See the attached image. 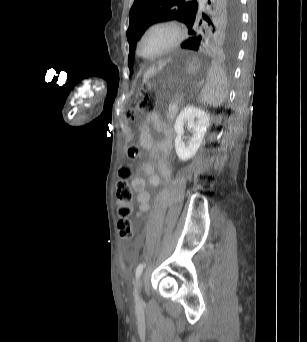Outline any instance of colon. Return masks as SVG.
<instances>
[{"instance_id": "5ec220e1", "label": "colon", "mask_w": 307, "mask_h": 342, "mask_svg": "<svg viewBox=\"0 0 307 342\" xmlns=\"http://www.w3.org/2000/svg\"><path fill=\"white\" fill-rule=\"evenodd\" d=\"M141 87L146 89L148 84L143 82ZM150 104L151 103L148 100L134 102L127 112V118L132 121L138 115L149 111ZM141 155L142 150L137 145H130L126 150V156L130 160H138ZM118 174L119 179L116 185V198L120 203L118 213L121 218L118 221L117 227L121 240L129 241L133 235V222L129 218L132 211L130 203L133 199V192L129 186L128 180L133 177L134 170L130 165H123L120 167Z\"/></svg>"}]
</instances>
